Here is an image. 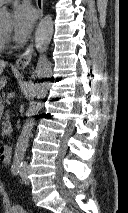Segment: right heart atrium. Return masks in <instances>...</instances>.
<instances>
[{
  "mask_svg": "<svg viewBox=\"0 0 128 213\" xmlns=\"http://www.w3.org/2000/svg\"><path fill=\"white\" fill-rule=\"evenodd\" d=\"M8 43V38L6 36H2L1 38V47H4Z\"/></svg>",
  "mask_w": 128,
  "mask_h": 213,
  "instance_id": "obj_1",
  "label": "right heart atrium"
}]
</instances>
